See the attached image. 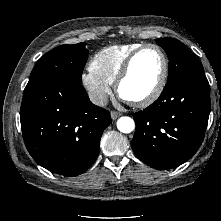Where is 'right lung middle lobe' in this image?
<instances>
[{"label":"right lung middle lobe","instance_id":"obj_1","mask_svg":"<svg viewBox=\"0 0 221 221\" xmlns=\"http://www.w3.org/2000/svg\"><path fill=\"white\" fill-rule=\"evenodd\" d=\"M85 43L61 45L46 53L33 68L30 81L60 85L82 84V71L88 58Z\"/></svg>","mask_w":221,"mask_h":221}]
</instances>
